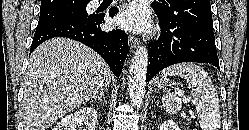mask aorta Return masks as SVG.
<instances>
[{
    "mask_svg": "<svg viewBox=\"0 0 249 130\" xmlns=\"http://www.w3.org/2000/svg\"><path fill=\"white\" fill-rule=\"evenodd\" d=\"M147 66L148 50L145 46H139L131 60L128 79L131 103L137 108L142 106L145 96Z\"/></svg>",
    "mask_w": 249,
    "mask_h": 130,
    "instance_id": "1",
    "label": "aorta"
}]
</instances>
